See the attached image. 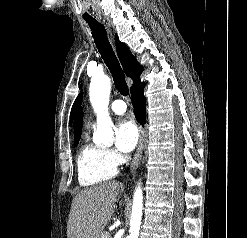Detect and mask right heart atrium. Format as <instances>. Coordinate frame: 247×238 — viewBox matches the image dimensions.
Returning a JSON list of instances; mask_svg holds the SVG:
<instances>
[{"mask_svg":"<svg viewBox=\"0 0 247 238\" xmlns=\"http://www.w3.org/2000/svg\"><path fill=\"white\" fill-rule=\"evenodd\" d=\"M106 155H107L109 161L116 166H118L122 161L121 156L112 149L106 150Z\"/></svg>","mask_w":247,"mask_h":238,"instance_id":"obj_1","label":"right heart atrium"}]
</instances>
